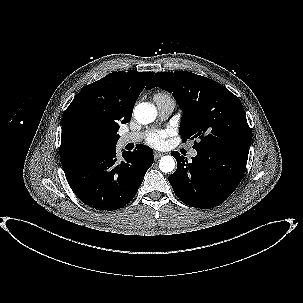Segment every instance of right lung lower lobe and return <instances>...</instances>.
Segmentation results:
<instances>
[{
  "instance_id": "98d812e1",
  "label": "right lung lower lobe",
  "mask_w": 303,
  "mask_h": 303,
  "mask_svg": "<svg viewBox=\"0 0 303 303\" xmlns=\"http://www.w3.org/2000/svg\"><path fill=\"white\" fill-rule=\"evenodd\" d=\"M116 156V146L64 168L75 195L98 210H117L136 195L146 171L153 163V152L138 145L133 152Z\"/></svg>"
}]
</instances>
